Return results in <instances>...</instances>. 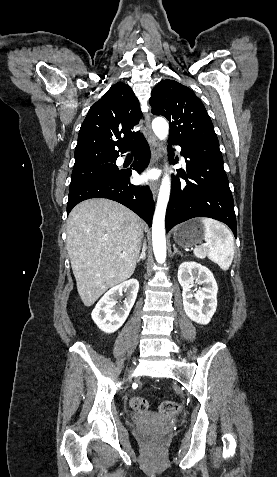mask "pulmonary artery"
Returning a JSON list of instances; mask_svg holds the SVG:
<instances>
[{"label": "pulmonary artery", "mask_w": 277, "mask_h": 477, "mask_svg": "<svg viewBox=\"0 0 277 477\" xmlns=\"http://www.w3.org/2000/svg\"><path fill=\"white\" fill-rule=\"evenodd\" d=\"M177 150L180 152V151H181V148H180V147H177Z\"/></svg>", "instance_id": "obj_1"}]
</instances>
